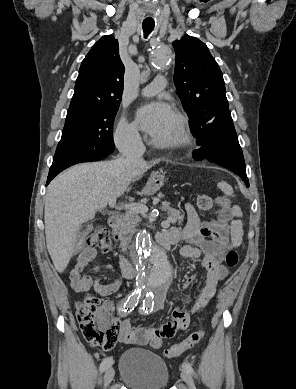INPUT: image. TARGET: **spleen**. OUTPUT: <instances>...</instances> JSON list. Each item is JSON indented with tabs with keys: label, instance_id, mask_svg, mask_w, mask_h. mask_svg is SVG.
I'll use <instances>...</instances> for the list:
<instances>
[{
	"label": "spleen",
	"instance_id": "obj_1",
	"mask_svg": "<svg viewBox=\"0 0 296 389\" xmlns=\"http://www.w3.org/2000/svg\"><path fill=\"white\" fill-rule=\"evenodd\" d=\"M217 186L222 192H224V194H226L228 196L233 194V188L227 182L221 181L217 184ZM233 214L235 216H238V217L242 216V212L238 206L233 207ZM230 229H231V232H230L231 241H232L233 246L234 247L240 246V244L242 243V237L244 234L242 222L240 220H232Z\"/></svg>",
	"mask_w": 296,
	"mask_h": 389
}]
</instances>
